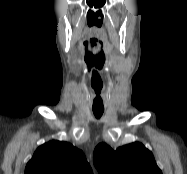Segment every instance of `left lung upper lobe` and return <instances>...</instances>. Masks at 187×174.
<instances>
[{
  "mask_svg": "<svg viewBox=\"0 0 187 174\" xmlns=\"http://www.w3.org/2000/svg\"><path fill=\"white\" fill-rule=\"evenodd\" d=\"M93 160L99 174H162L153 154L139 142L116 151L101 143L94 150Z\"/></svg>",
  "mask_w": 187,
  "mask_h": 174,
  "instance_id": "left-lung-upper-lobe-1",
  "label": "left lung upper lobe"
}]
</instances>
